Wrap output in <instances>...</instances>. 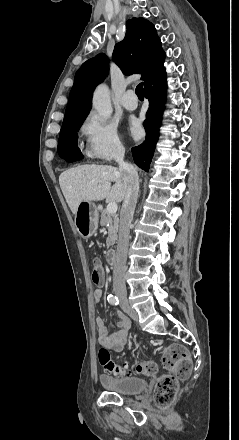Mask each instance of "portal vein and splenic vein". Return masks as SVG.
<instances>
[{"instance_id": "portal-vein-and-splenic-vein-1", "label": "portal vein and splenic vein", "mask_w": 239, "mask_h": 440, "mask_svg": "<svg viewBox=\"0 0 239 440\" xmlns=\"http://www.w3.org/2000/svg\"><path fill=\"white\" fill-rule=\"evenodd\" d=\"M107 210H108L109 214H116V212H117L116 202H110V204H108V206H107Z\"/></svg>"}]
</instances>
